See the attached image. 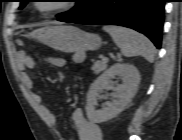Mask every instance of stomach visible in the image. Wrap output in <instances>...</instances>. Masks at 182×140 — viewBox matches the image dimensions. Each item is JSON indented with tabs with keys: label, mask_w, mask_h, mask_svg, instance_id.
Returning <instances> with one entry per match:
<instances>
[{
	"label": "stomach",
	"mask_w": 182,
	"mask_h": 140,
	"mask_svg": "<svg viewBox=\"0 0 182 140\" xmlns=\"http://www.w3.org/2000/svg\"><path fill=\"white\" fill-rule=\"evenodd\" d=\"M31 36L45 45L65 53H82L100 47L101 38L70 25H51L39 28Z\"/></svg>",
	"instance_id": "1"
}]
</instances>
